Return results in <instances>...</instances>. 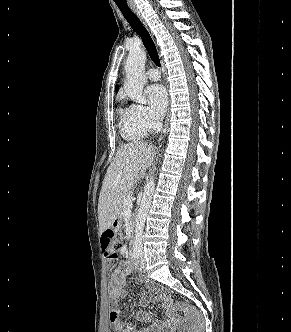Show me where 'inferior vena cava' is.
<instances>
[{"label":"inferior vena cava","instance_id":"obj_1","mask_svg":"<svg viewBox=\"0 0 291 332\" xmlns=\"http://www.w3.org/2000/svg\"><path fill=\"white\" fill-rule=\"evenodd\" d=\"M153 128L156 132H159L162 129V123L161 122H155L153 124Z\"/></svg>","mask_w":291,"mask_h":332}]
</instances>
